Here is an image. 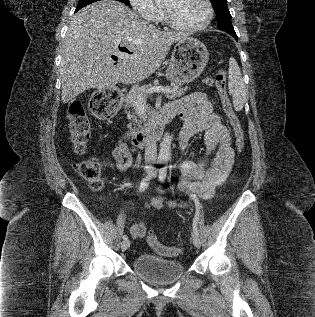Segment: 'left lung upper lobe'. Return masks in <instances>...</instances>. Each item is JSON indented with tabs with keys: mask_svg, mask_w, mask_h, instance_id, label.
Returning <instances> with one entry per match:
<instances>
[{
	"mask_svg": "<svg viewBox=\"0 0 315 317\" xmlns=\"http://www.w3.org/2000/svg\"><path fill=\"white\" fill-rule=\"evenodd\" d=\"M216 16L217 26L219 29L228 32L229 34H236L231 23V14L227 7L226 0H210Z\"/></svg>",
	"mask_w": 315,
	"mask_h": 317,
	"instance_id": "1",
	"label": "left lung upper lobe"
}]
</instances>
